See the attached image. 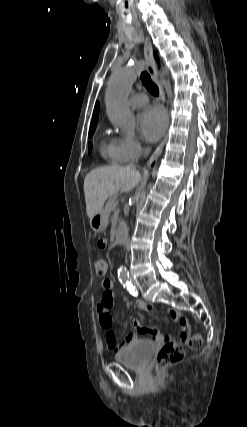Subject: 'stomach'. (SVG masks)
<instances>
[{"label": "stomach", "instance_id": "stomach-1", "mask_svg": "<svg viewBox=\"0 0 247 427\" xmlns=\"http://www.w3.org/2000/svg\"><path fill=\"white\" fill-rule=\"evenodd\" d=\"M107 223L108 216L104 213L103 210H101L99 213H97L90 219L91 228L98 233L103 232L106 229Z\"/></svg>", "mask_w": 247, "mask_h": 427}]
</instances>
